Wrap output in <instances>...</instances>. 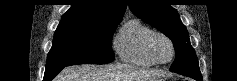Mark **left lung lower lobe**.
Listing matches in <instances>:
<instances>
[{
	"mask_svg": "<svg viewBox=\"0 0 237 81\" xmlns=\"http://www.w3.org/2000/svg\"><path fill=\"white\" fill-rule=\"evenodd\" d=\"M188 77H191V78H193V79H195L197 81H202V77H198V76H188Z\"/></svg>",
	"mask_w": 237,
	"mask_h": 81,
	"instance_id": "0a47b994",
	"label": "left lung lower lobe"
}]
</instances>
